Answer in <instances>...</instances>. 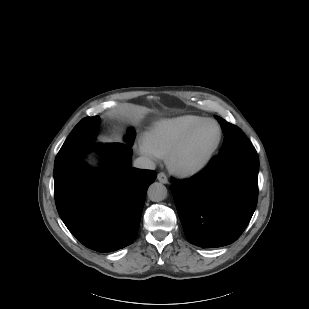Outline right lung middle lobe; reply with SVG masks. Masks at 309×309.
I'll use <instances>...</instances> for the list:
<instances>
[{
  "label": "right lung middle lobe",
  "mask_w": 309,
  "mask_h": 309,
  "mask_svg": "<svg viewBox=\"0 0 309 309\" xmlns=\"http://www.w3.org/2000/svg\"><path fill=\"white\" fill-rule=\"evenodd\" d=\"M99 116L86 117L72 130L60 151L58 152L55 164L58 165L74 152L82 149L96 137V125ZM135 138L133 130L126 135L127 142L132 145Z\"/></svg>",
  "instance_id": "obj_1"
}]
</instances>
